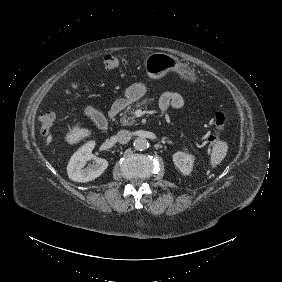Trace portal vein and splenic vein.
Instances as JSON below:
<instances>
[{
  "label": "portal vein and splenic vein",
  "mask_w": 282,
  "mask_h": 282,
  "mask_svg": "<svg viewBox=\"0 0 282 282\" xmlns=\"http://www.w3.org/2000/svg\"><path fill=\"white\" fill-rule=\"evenodd\" d=\"M135 118L136 119H143L144 118V113L143 112H136L135 113Z\"/></svg>",
  "instance_id": "18ae733b"
}]
</instances>
